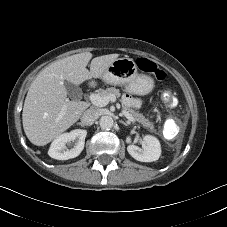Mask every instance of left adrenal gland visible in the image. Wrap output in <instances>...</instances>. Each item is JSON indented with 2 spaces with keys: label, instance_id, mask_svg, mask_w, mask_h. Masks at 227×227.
Here are the masks:
<instances>
[{
  "label": "left adrenal gland",
  "instance_id": "a2214340",
  "mask_svg": "<svg viewBox=\"0 0 227 227\" xmlns=\"http://www.w3.org/2000/svg\"><path fill=\"white\" fill-rule=\"evenodd\" d=\"M120 123H122L125 126H128V124L126 122L122 121V120H120Z\"/></svg>",
  "mask_w": 227,
  "mask_h": 227
}]
</instances>
